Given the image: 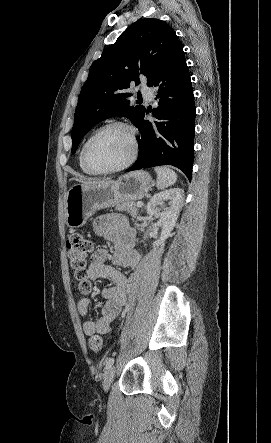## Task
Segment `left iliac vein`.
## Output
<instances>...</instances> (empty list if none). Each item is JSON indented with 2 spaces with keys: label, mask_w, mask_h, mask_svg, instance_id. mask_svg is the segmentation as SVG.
Here are the masks:
<instances>
[{
  "label": "left iliac vein",
  "mask_w": 271,
  "mask_h": 443,
  "mask_svg": "<svg viewBox=\"0 0 271 443\" xmlns=\"http://www.w3.org/2000/svg\"><path fill=\"white\" fill-rule=\"evenodd\" d=\"M115 377V367H111L105 374L103 379V389L108 391Z\"/></svg>",
  "instance_id": "4c4485c4"
}]
</instances>
